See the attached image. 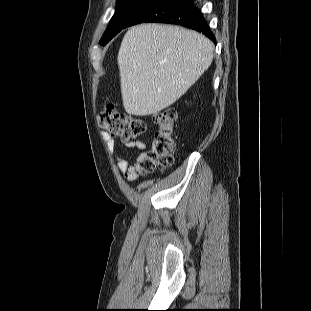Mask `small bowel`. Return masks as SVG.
I'll return each mask as SVG.
<instances>
[{
  "mask_svg": "<svg viewBox=\"0 0 311 311\" xmlns=\"http://www.w3.org/2000/svg\"><path fill=\"white\" fill-rule=\"evenodd\" d=\"M103 139L107 145L109 153L116 157L117 167L120 173L124 176V178L127 181L135 180L141 173L140 163L146 154V148H147L146 144L143 141H139V140H128V139L121 140L125 144V146L129 148H137L138 150H140V153L137 157L136 162L131 164L128 160H126L125 158H123L117 153V150H116L117 140L115 138H113L112 136L108 134H104Z\"/></svg>",
  "mask_w": 311,
  "mask_h": 311,
  "instance_id": "obj_1",
  "label": "small bowel"
}]
</instances>
